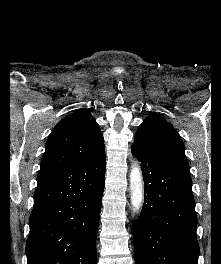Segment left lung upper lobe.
Returning a JSON list of instances; mask_svg holds the SVG:
<instances>
[{"instance_id": "obj_1", "label": "left lung upper lobe", "mask_w": 221, "mask_h": 264, "mask_svg": "<svg viewBox=\"0 0 221 264\" xmlns=\"http://www.w3.org/2000/svg\"><path fill=\"white\" fill-rule=\"evenodd\" d=\"M133 145L153 157L189 168L178 132L159 116H149L143 121Z\"/></svg>"}]
</instances>
